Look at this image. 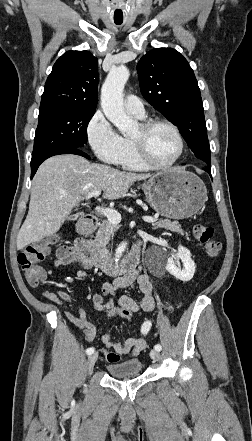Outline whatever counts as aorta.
Masks as SVG:
<instances>
[{"label":"aorta","mask_w":252,"mask_h":441,"mask_svg":"<svg viewBox=\"0 0 252 441\" xmlns=\"http://www.w3.org/2000/svg\"><path fill=\"white\" fill-rule=\"evenodd\" d=\"M129 70L125 66L112 68L102 85L101 107L108 118L118 129L128 135L135 127V121L124 111L123 89L129 78ZM127 243H121L115 252V261L118 262L122 257Z\"/></svg>","instance_id":"1"}]
</instances>
